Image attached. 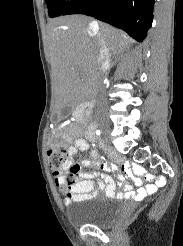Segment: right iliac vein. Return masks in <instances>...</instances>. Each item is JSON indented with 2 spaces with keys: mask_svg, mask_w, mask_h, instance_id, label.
I'll list each match as a JSON object with an SVG mask.
<instances>
[{
  "mask_svg": "<svg viewBox=\"0 0 183 246\" xmlns=\"http://www.w3.org/2000/svg\"><path fill=\"white\" fill-rule=\"evenodd\" d=\"M99 126H100V129H101L103 135L106 138H108L110 135V126H109L108 122H100Z\"/></svg>",
  "mask_w": 183,
  "mask_h": 246,
  "instance_id": "63e3f726",
  "label": "right iliac vein"
}]
</instances>
